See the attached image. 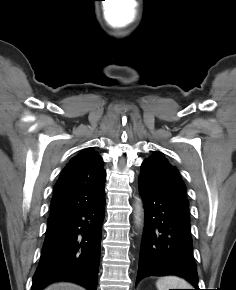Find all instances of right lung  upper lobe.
Returning <instances> with one entry per match:
<instances>
[{
    "instance_id": "cb5924a9",
    "label": "right lung upper lobe",
    "mask_w": 236,
    "mask_h": 290,
    "mask_svg": "<svg viewBox=\"0 0 236 290\" xmlns=\"http://www.w3.org/2000/svg\"><path fill=\"white\" fill-rule=\"evenodd\" d=\"M102 164L101 156L90 148L69 161L55 184L48 224L93 204L104 196L106 171Z\"/></svg>"
}]
</instances>
